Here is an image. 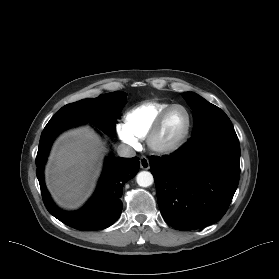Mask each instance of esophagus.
I'll return each instance as SVG.
<instances>
[{
    "label": "esophagus",
    "mask_w": 279,
    "mask_h": 279,
    "mask_svg": "<svg viewBox=\"0 0 279 279\" xmlns=\"http://www.w3.org/2000/svg\"><path fill=\"white\" fill-rule=\"evenodd\" d=\"M140 167L144 170H148L150 167V163L147 157L143 156L140 158Z\"/></svg>",
    "instance_id": "esophagus-1"
}]
</instances>
